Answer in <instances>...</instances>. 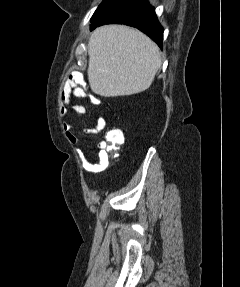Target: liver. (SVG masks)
Segmentation results:
<instances>
[{
    "label": "liver",
    "instance_id": "6515ba94",
    "mask_svg": "<svg viewBox=\"0 0 240 287\" xmlns=\"http://www.w3.org/2000/svg\"><path fill=\"white\" fill-rule=\"evenodd\" d=\"M88 55L91 90L103 97L147 90L162 63L158 46L142 32L124 25H105L93 31Z\"/></svg>",
    "mask_w": 240,
    "mask_h": 287
}]
</instances>
